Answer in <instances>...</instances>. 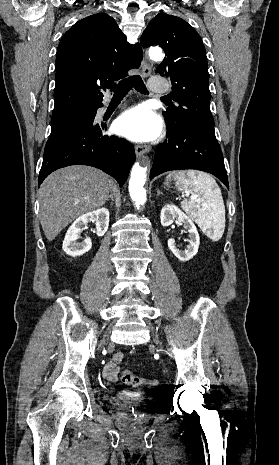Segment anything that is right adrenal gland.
<instances>
[{"mask_svg":"<svg viewBox=\"0 0 279 465\" xmlns=\"http://www.w3.org/2000/svg\"><path fill=\"white\" fill-rule=\"evenodd\" d=\"M109 199H111L112 201H114L112 191H110V195L108 196V198H107L106 201H108Z\"/></svg>","mask_w":279,"mask_h":465,"instance_id":"right-adrenal-gland-1","label":"right adrenal gland"}]
</instances>
